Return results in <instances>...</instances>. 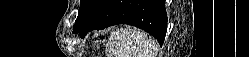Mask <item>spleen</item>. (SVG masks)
Segmentation results:
<instances>
[{
	"label": "spleen",
	"mask_w": 249,
	"mask_h": 57,
	"mask_svg": "<svg viewBox=\"0 0 249 57\" xmlns=\"http://www.w3.org/2000/svg\"><path fill=\"white\" fill-rule=\"evenodd\" d=\"M110 46L115 50H109L108 56L113 57H154L157 47L153 39L146 33L131 29L120 28L111 32Z\"/></svg>",
	"instance_id": "1"
}]
</instances>
